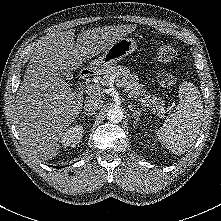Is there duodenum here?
<instances>
[{
  "label": "duodenum",
  "instance_id": "duodenum-1",
  "mask_svg": "<svg viewBox=\"0 0 221 221\" xmlns=\"http://www.w3.org/2000/svg\"><path fill=\"white\" fill-rule=\"evenodd\" d=\"M89 75H90V73H89L88 70H83V71L81 72V78H82V79L88 78Z\"/></svg>",
  "mask_w": 221,
  "mask_h": 221
}]
</instances>
